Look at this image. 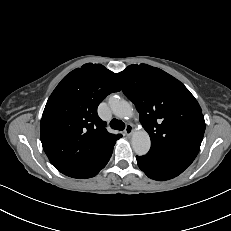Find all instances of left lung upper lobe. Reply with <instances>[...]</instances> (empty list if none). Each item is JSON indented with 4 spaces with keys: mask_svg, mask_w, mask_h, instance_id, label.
I'll use <instances>...</instances> for the list:
<instances>
[{
    "mask_svg": "<svg viewBox=\"0 0 231 231\" xmlns=\"http://www.w3.org/2000/svg\"><path fill=\"white\" fill-rule=\"evenodd\" d=\"M116 76L150 135L149 152L193 161L205 121L191 92L170 74L147 64L130 65Z\"/></svg>",
    "mask_w": 231,
    "mask_h": 231,
    "instance_id": "5c2ea615",
    "label": "left lung upper lobe"
}]
</instances>
